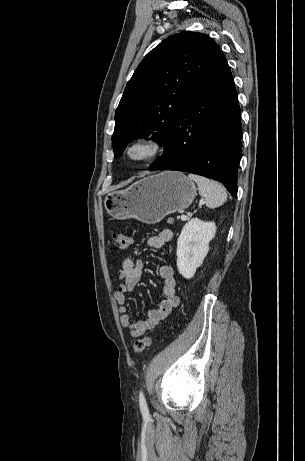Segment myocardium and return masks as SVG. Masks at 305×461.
Returning a JSON list of instances; mask_svg holds the SVG:
<instances>
[{
	"instance_id": "1",
	"label": "myocardium",
	"mask_w": 305,
	"mask_h": 461,
	"mask_svg": "<svg viewBox=\"0 0 305 461\" xmlns=\"http://www.w3.org/2000/svg\"><path fill=\"white\" fill-rule=\"evenodd\" d=\"M142 152L134 154L135 150ZM163 150L162 142L154 136H140L128 142L124 148V157L133 164H141L156 158Z\"/></svg>"
}]
</instances>
